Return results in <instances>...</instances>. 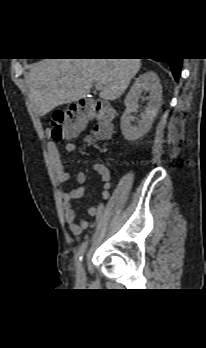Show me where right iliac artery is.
I'll return each mask as SVG.
<instances>
[{
    "label": "right iliac artery",
    "mask_w": 206,
    "mask_h": 348,
    "mask_svg": "<svg viewBox=\"0 0 206 348\" xmlns=\"http://www.w3.org/2000/svg\"><path fill=\"white\" fill-rule=\"evenodd\" d=\"M103 204H106V199H101V201H98L97 202V213H96V218L97 220H102V215H103V210H104V205ZM86 247H87V241L84 242L77 254H76V257H75V261H76V266L77 268H79L80 264H81V261H82V258H83V255H84V252L86 250Z\"/></svg>",
    "instance_id": "1"
}]
</instances>
